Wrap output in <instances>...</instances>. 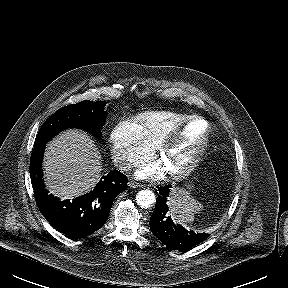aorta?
Returning a JSON list of instances; mask_svg holds the SVG:
<instances>
[{
    "mask_svg": "<svg viewBox=\"0 0 288 288\" xmlns=\"http://www.w3.org/2000/svg\"><path fill=\"white\" fill-rule=\"evenodd\" d=\"M155 200V194L149 189L141 190L136 195V203L141 208H149L155 203Z\"/></svg>",
    "mask_w": 288,
    "mask_h": 288,
    "instance_id": "762f6f07",
    "label": "aorta"
}]
</instances>
